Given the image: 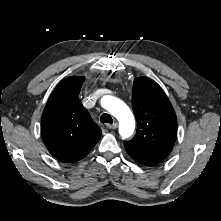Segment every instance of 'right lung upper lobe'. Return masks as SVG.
Returning <instances> with one entry per match:
<instances>
[{"label":"right lung upper lobe","mask_w":221,"mask_h":221,"mask_svg":"<svg viewBox=\"0 0 221 221\" xmlns=\"http://www.w3.org/2000/svg\"><path fill=\"white\" fill-rule=\"evenodd\" d=\"M84 76H71L53 90L41 120V134L48 151L60 161L83 159L101 138L102 131L78 95Z\"/></svg>","instance_id":"right-lung-upper-lobe-1"}]
</instances>
